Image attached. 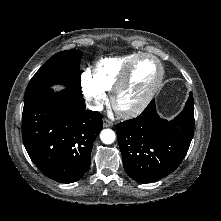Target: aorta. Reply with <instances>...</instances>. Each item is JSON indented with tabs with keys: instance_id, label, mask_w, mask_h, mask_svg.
Segmentation results:
<instances>
[{
	"instance_id": "obj_1",
	"label": "aorta",
	"mask_w": 221,
	"mask_h": 221,
	"mask_svg": "<svg viewBox=\"0 0 221 221\" xmlns=\"http://www.w3.org/2000/svg\"><path fill=\"white\" fill-rule=\"evenodd\" d=\"M100 139L104 144H112L116 139L115 132L111 129H104L100 133Z\"/></svg>"
}]
</instances>
